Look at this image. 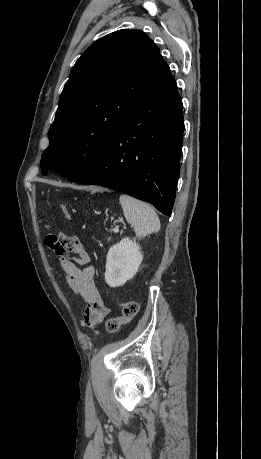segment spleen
I'll return each instance as SVG.
<instances>
[{"instance_id": "3e777b00", "label": "spleen", "mask_w": 261, "mask_h": 459, "mask_svg": "<svg viewBox=\"0 0 261 459\" xmlns=\"http://www.w3.org/2000/svg\"><path fill=\"white\" fill-rule=\"evenodd\" d=\"M119 201L125 219L134 228L137 238L159 232L160 220L150 205L126 194H122Z\"/></svg>"}]
</instances>
